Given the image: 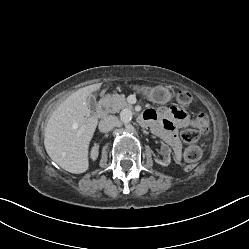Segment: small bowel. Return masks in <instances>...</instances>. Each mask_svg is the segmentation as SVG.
<instances>
[{
    "mask_svg": "<svg viewBox=\"0 0 249 249\" xmlns=\"http://www.w3.org/2000/svg\"><path fill=\"white\" fill-rule=\"evenodd\" d=\"M143 119L168 145H170L176 157L179 158L181 144L177 138V130L190 125L188 114L178 107H161L157 110H145Z\"/></svg>",
    "mask_w": 249,
    "mask_h": 249,
    "instance_id": "small-bowel-1",
    "label": "small bowel"
}]
</instances>
